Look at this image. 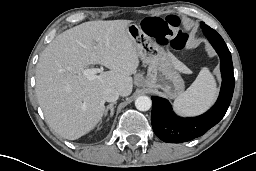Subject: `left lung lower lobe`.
Returning a JSON list of instances; mask_svg holds the SVG:
<instances>
[{"label":"left lung lower lobe","instance_id":"left-lung-lower-lobe-1","mask_svg":"<svg viewBox=\"0 0 256 171\" xmlns=\"http://www.w3.org/2000/svg\"><path fill=\"white\" fill-rule=\"evenodd\" d=\"M200 26L220 57L221 91L217 102L209 111L193 118L176 116L166 99L153 96L152 127L155 134L167 143L190 141L206 133L224 117L232 99L235 79L230 51L222 37L214 29L203 22Z\"/></svg>","mask_w":256,"mask_h":171}]
</instances>
